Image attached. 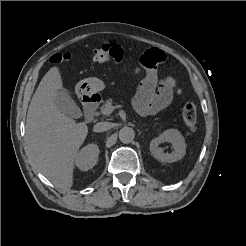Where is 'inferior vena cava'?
<instances>
[{"label":"inferior vena cava","instance_id":"inferior-vena-cava-1","mask_svg":"<svg viewBox=\"0 0 246 246\" xmlns=\"http://www.w3.org/2000/svg\"><path fill=\"white\" fill-rule=\"evenodd\" d=\"M112 125L110 122H99L94 125L93 131L94 132H104L111 129Z\"/></svg>","mask_w":246,"mask_h":246}]
</instances>
